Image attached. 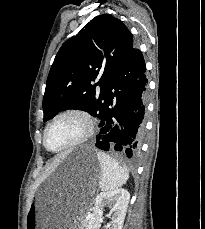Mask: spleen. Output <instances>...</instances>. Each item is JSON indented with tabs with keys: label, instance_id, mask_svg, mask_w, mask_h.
<instances>
[{
	"label": "spleen",
	"instance_id": "3e777b00",
	"mask_svg": "<svg viewBox=\"0 0 205 229\" xmlns=\"http://www.w3.org/2000/svg\"><path fill=\"white\" fill-rule=\"evenodd\" d=\"M97 158L101 166L99 186L102 190H114L126 183L129 178L126 168L104 152H97Z\"/></svg>",
	"mask_w": 205,
	"mask_h": 229
}]
</instances>
